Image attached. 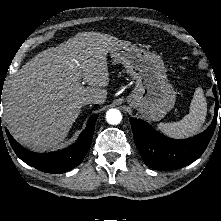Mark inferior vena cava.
Listing matches in <instances>:
<instances>
[{
	"label": "inferior vena cava",
	"instance_id": "1",
	"mask_svg": "<svg viewBox=\"0 0 221 221\" xmlns=\"http://www.w3.org/2000/svg\"><path fill=\"white\" fill-rule=\"evenodd\" d=\"M91 103H96V101L92 98H89V99H85L83 101V104H91Z\"/></svg>",
	"mask_w": 221,
	"mask_h": 221
}]
</instances>
